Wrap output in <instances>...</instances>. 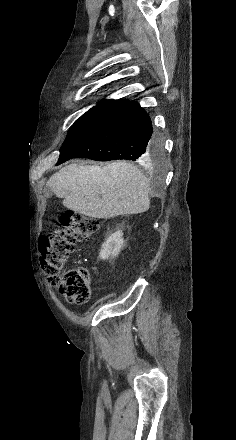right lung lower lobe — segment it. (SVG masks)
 Returning <instances> with one entry per match:
<instances>
[{"label": "right lung lower lobe", "mask_w": 236, "mask_h": 440, "mask_svg": "<svg viewBox=\"0 0 236 440\" xmlns=\"http://www.w3.org/2000/svg\"><path fill=\"white\" fill-rule=\"evenodd\" d=\"M152 123L146 111L128 101L105 114L60 149L58 164L71 158L145 162L154 149Z\"/></svg>", "instance_id": "right-lung-lower-lobe-1"}]
</instances>
